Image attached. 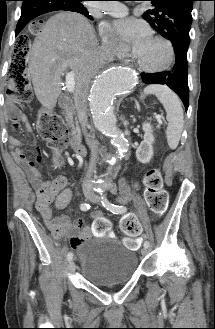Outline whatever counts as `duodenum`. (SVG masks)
Masks as SVG:
<instances>
[{"label":"duodenum","mask_w":215,"mask_h":329,"mask_svg":"<svg viewBox=\"0 0 215 329\" xmlns=\"http://www.w3.org/2000/svg\"><path fill=\"white\" fill-rule=\"evenodd\" d=\"M59 105L62 115L66 118L67 121H70L73 110V103L70 95L62 94L60 97ZM70 147L72 151L78 156H83L86 153V149L81 143L79 135L76 132L72 133L71 135Z\"/></svg>","instance_id":"obj_1"}]
</instances>
